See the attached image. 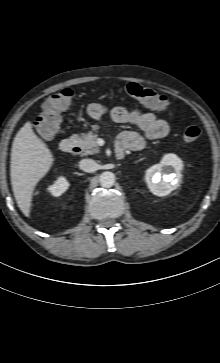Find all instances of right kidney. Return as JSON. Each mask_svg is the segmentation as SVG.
<instances>
[{
  "label": "right kidney",
  "mask_w": 220,
  "mask_h": 363,
  "mask_svg": "<svg viewBox=\"0 0 220 363\" xmlns=\"http://www.w3.org/2000/svg\"><path fill=\"white\" fill-rule=\"evenodd\" d=\"M69 188V182L65 177H59L47 190L55 197L61 196Z\"/></svg>",
  "instance_id": "1"
}]
</instances>
